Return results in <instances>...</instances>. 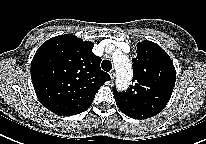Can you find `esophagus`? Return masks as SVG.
<instances>
[{"instance_id": "34e87169", "label": "esophagus", "mask_w": 206, "mask_h": 144, "mask_svg": "<svg viewBox=\"0 0 206 144\" xmlns=\"http://www.w3.org/2000/svg\"><path fill=\"white\" fill-rule=\"evenodd\" d=\"M109 75H110L111 80H114V78H115V76H116V73H115L114 70H112V71L109 73Z\"/></svg>"}]
</instances>
